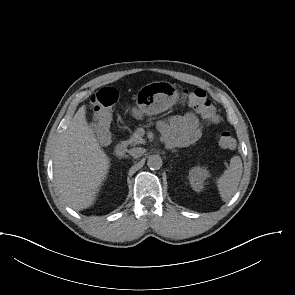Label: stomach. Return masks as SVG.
Returning <instances> with one entry per match:
<instances>
[{"label": "stomach", "instance_id": "1", "mask_svg": "<svg viewBox=\"0 0 295 295\" xmlns=\"http://www.w3.org/2000/svg\"><path fill=\"white\" fill-rule=\"evenodd\" d=\"M177 88L168 82H153L142 87L136 96L139 108L148 116L172 107L178 100Z\"/></svg>", "mask_w": 295, "mask_h": 295}]
</instances>
